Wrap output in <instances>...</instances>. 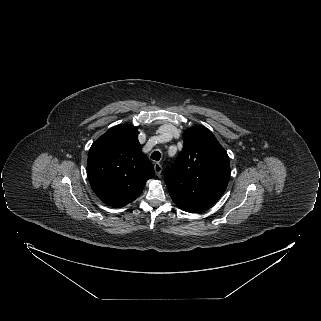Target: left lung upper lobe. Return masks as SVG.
Wrapping results in <instances>:
<instances>
[{"label":"left lung upper lobe","instance_id":"left-lung-upper-lobe-1","mask_svg":"<svg viewBox=\"0 0 321 321\" xmlns=\"http://www.w3.org/2000/svg\"><path fill=\"white\" fill-rule=\"evenodd\" d=\"M184 148L165 175L172 200L179 205L208 208L225 192L229 157L212 132L195 126L183 133Z\"/></svg>","mask_w":321,"mask_h":321}]
</instances>
